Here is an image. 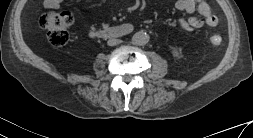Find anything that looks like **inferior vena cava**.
<instances>
[{
	"mask_svg": "<svg viewBox=\"0 0 253 138\" xmlns=\"http://www.w3.org/2000/svg\"><path fill=\"white\" fill-rule=\"evenodd\" d=\"M107 43L109 46H115V45L119 44L120 41L118 39H111Z\"/></svg>",
	"mask_w": 253,
	"mask_h": 138,
	"instance_id": "inferior-vena-cava-1",
	"label": "inferior vena cava"
}]
</instances>
